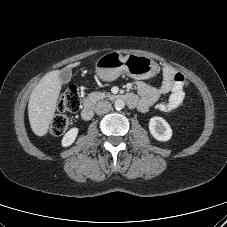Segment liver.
Instances as JSON below:
<instances>
[{"instance_id":"6515ba94","label":"liver","mask_w":227,"mask_h":227,"mask_svg":"<svg viewBox=\"0 0 227 227\" xmlns=\"http://www.w3.org/2000/svg\"><path fill=\"white\" fill-rule=\"evenodd\" d=\"M80 64L81 62H75L66 68H74ZM60 72L59 70L48 72L31 92L28 116L31 129L37 136H44L47 133L55 113L61 90Z\"/></svg>"}]
</instances>
